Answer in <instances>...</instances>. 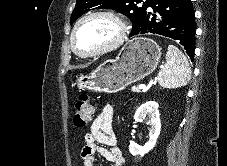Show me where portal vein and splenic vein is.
Instances as JSON below:
<instances>
[{
	"mask_svg": "<svg viewBox=\"0 0 227 166\" xmlns=\"http://www.w3.org/2000/svg\"><path fill=\"white\" fill-rule=\"evenodd\" d=\"M144 88H146V85H145V84H141L137 89H138V90H142V89H144Z\"/></svg>",
	"mask_w": 227,
	"mask_h": 166,
	"instance_id": "portal-vein-and-splenic-vein-1",
	"label": "portal vein and splenic vein"
}]
</instances>
